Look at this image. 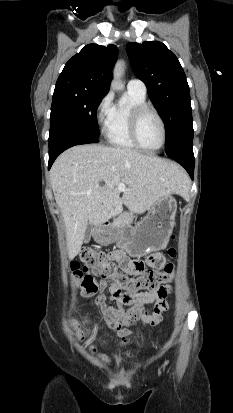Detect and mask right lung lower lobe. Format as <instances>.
Segmentation results:
<instances>
[{
	"instance_id": "1",
	"label": "right lung lower lobe",
	"mask_w": 233,
	"mask_h": 413,
	"mask_svg": "<svg viewBox=\"0 0 233 413\" xmlns=\"http://www.w3.org/2000/svg\"><path fill=\"white\" fill-rule=\"evenodd\" d=\"M49 142V164L48 168L50 169L54 160L57 156L65 151L66 149L80 144H88V143H97L98 140L95 137L82 135V134H75V133H59L55 135L53 138L48 140Z\"/></svg>"
}]
</instances>
